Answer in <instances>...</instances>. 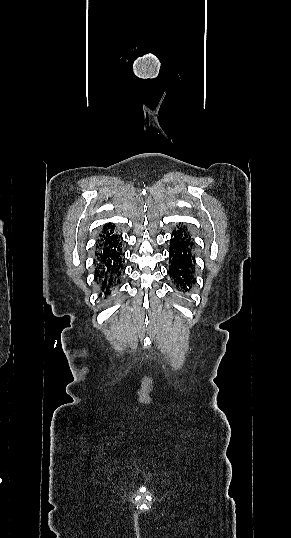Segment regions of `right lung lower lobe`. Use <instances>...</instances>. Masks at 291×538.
Returning <instances> with one entry per match:
<instances>
[{"mask_svg": "<svg viewBox=\"0 0 291 538\" xmlns=\"http://www.w3.org/2000/svg\"><path fill=\"white\" fill-rule=\"evenodd\" d=\"M96 260V280L104 291L105 298L110 295L111 288L120 282L123 269V255L120 236L114 233V226L103 227L98 239Z\"/></svg>", "mask_w": 291, "mask_h": 538, "instance_id": "98d812e1", "label": "right lung lower lobe"}]
</instances>
